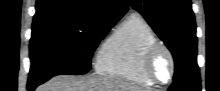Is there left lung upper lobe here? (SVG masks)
Instances as JSON below:
<instances>
[{"instance_id":"5c2ea615","label":"left lung upper lobe","mask_w":220,"mask_h":91,"mask_svg":"<svg viewBox=\"0 0 220 91\" xmlns=\"http://www.w3.org/2000/svg\"><path fill=\"white\" fill-rule=\"evenodd\" d=\"M173 54L175 74L170 91H200L197 37L190 0H129Z\"/></svg>"}]
</instances>
